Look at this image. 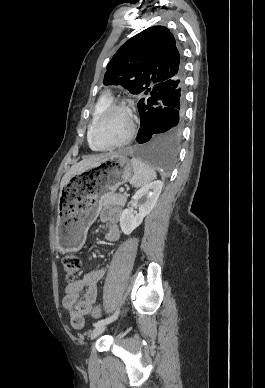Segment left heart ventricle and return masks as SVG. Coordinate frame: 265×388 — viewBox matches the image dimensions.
I'll list each match as a JSON object with an SVG mask.
<instances>
[{
	"instance_id": "obj_1",
	"label": "left heart ventricle",
	"mask_w": 265,
	"mask_h": 388,
	"mask_svg": "<svg viewBox=\"0 0 265 388\" xmlns=\"http://www.w3.org/2000/svg\"><path fill=\"white\" fill-rule=\"evenodd\" d=\"M128 128V116L119 110H112L100 121L97 138L103 144H114L125 136Z\"/></svg>"
}]
</instances>
